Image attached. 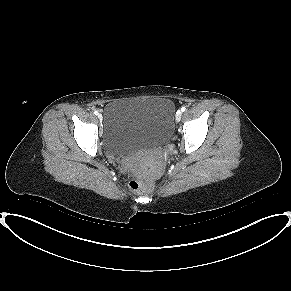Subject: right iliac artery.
Segmentation results:
<instances>
[{
  "label": "right iliac artery",
  "mask_w": 291,
  "mask_h": 291,
  "mask_svg": "<svg viewBox=\"0 0 291 291\" xmlns=\"http://www.w3.org/2000/svg\"><path fill=\"white\" fill-rule=\"evenodd\" d=\"M94 114H95V115H98V111H97V110H95V111H94Z\"/></svg>",
  "instance_id": "right-iliac-artery-1"
}]
</instances>
